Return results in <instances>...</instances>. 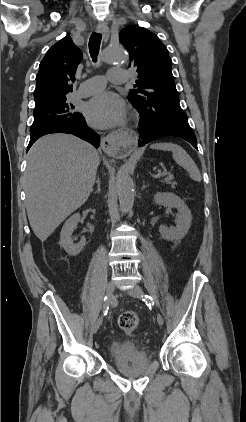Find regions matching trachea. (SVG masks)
Masks as SVG:
<instances>
[{
	"instance_id": "3493384b",
	"label": "trachea",
	"mask_w": 246,
	"mask_h": 422,
	"mask_svg": "<svg viewBox=\"0 0 246 422\" xmlns=\"http://www.w3.org/2000/svg\"><path fill=\"white\" fill-rule=\"evenodd\" d=\"M101 34L93 32L89 39V51L93 62L97 61V55L101 44Z\"/></svg>"
}]
</instances>
